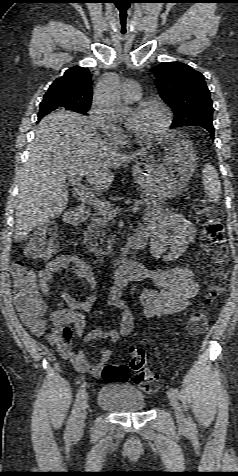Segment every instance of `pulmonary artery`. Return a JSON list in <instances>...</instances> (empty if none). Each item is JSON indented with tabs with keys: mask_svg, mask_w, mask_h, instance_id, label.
Instances as JSON below:
<instances>
[{
	"mask_svg": "<svg viewBox=\"0 0 238 476\" xmlns=\"http://www.w3.org/2000/svg\"><path fill=\"white\" fill-rule=\"evenodd\" d=\"M141 88L138 82L127 80L122 85V98L126 102H134L140 99Z\"/></svg>",
	"mask_w": 238,
	"mask_h": 476,
	"instance_id": "e3ab8cb5",
	"label": "pulmonary artery"
}]
</instances>
